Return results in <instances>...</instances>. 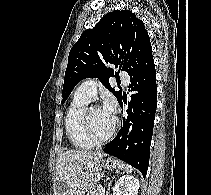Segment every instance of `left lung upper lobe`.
<instances>
[{
  "mask_svg": "<svg viewBox=\"0 0 211 195\" xmlns=\"http://www.w3.org/2000/svg\"><path fill=\"white\" fill-rule=\"evenodd\" d=\"M152 58L149 35L143 22L129 10L106 14L92 29L82 33L71 48L64 77L63 103L76 84L85 78H99L121 101L122 91H115L109 78L116 73L110 64L137 73Z\"/></svg>",
  "mask_w": 211,
  "mask_h": 195,
  "instance_id": "obj_1",
  "label": "left lung upper lobe"
}]
</instances>
